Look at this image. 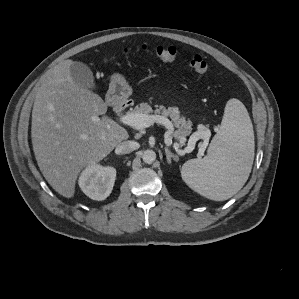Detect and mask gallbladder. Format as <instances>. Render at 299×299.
<instances>
[{
    "label": "gallbladder",
    "instance_id": "obj_1",
    "mask_svg": "<svg viewBox=\"0 0 299 299\" xmlns=\"http://www.w3.org/2000/svg\"><path fill=\"white\" fill-rule=\"evenodd\" d=\"M70 75L73 81L82 88L97 90L91 69L84 63L74 61L70 65Z\"/></svg>",
    "mask_w": 299,
    "mask_h": 299
}]
</instances>
